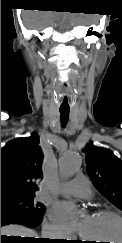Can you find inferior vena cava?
Listing matches in <instances>:
<instances>
[{"mask_svg": "<svg viewBox=\"0 0 122 243\" xmlns=\"http://www.w3.org/2000/svg\"><path fill=\"white\" fill-rule=\"evenodd\" d=\"M42 238L56 239V234L49 227L44 226L42 228Z\"/></svg>", "mask_w": 122, "mask_h": 243, "instance_id": "obj_1", "label": "inferior vena cava"}]
</instances>
